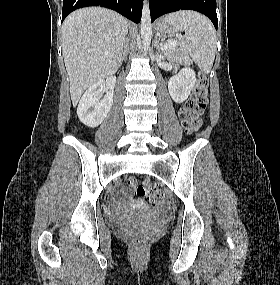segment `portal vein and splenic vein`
I'll list each match as a JSON object with an SVG mask.
<instances>
[{
  "instance_id": "1",
  "label": "portal vein and splenic vein",
  "mask_w": 280,
  "mask_h": 285,
  "mask_svg": "<svg viewBox=\"0 0 280 285\" xmlns=\"http://www.w3.org/2000/svg\"><path fill=\"white\" fill-rule=\"evenodd\" d=\"M178 45V42L177 41H173V42H170L168 44H164L162 45L161 49L162 50H167L169 48H173V47H176Z\"/></svg>"
}]
</instances>
